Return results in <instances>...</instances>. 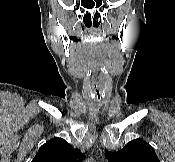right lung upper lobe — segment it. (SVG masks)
<instances>
[{
	"instance_id": "cb5924a9",
	"label": "right lung upper lobe",
	"mask_w": 175,
	"mask_h": 162,
	"mask_svg": "<svg viewBox=\"0 0 175 162\" xmlns=\"http://www.w3.org/2000/svg\"><path fill=\"white\" fill-rule=\"evenodd\" d=\"M85 154L73 148L62 138L52 139L43 144L32 162H82Z\"/></svg>"
}]
</instances>
